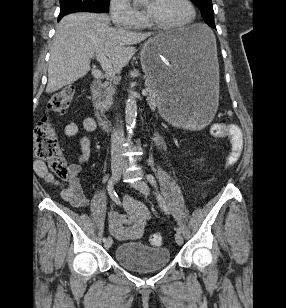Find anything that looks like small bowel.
I'll list each match as a JSON object with an SVG mask.
<instances>
[{"mask_svg": "<svg viewBox=\"0 0 286 308\" xmlns=\"http://www.w3.org/2000/svg\"><path fill=\"white\" fill-rule=\"evenodd\" d=\"M231 139H242L240 130L234 126L229 125ZM97 130L96 121L92 117H87L82 122H70L64 128V134L68 138L75 137L82 133L80 137L79 163H71L69 165L70 177L66 186L61 187V198L74 208H80L88 203V198L82 189L79 181V173L81 170L80 164L89 160L91 155V140L89 134ZM164 148V144H162ZM36 173L47 179L53 180L51 174L48 172L46 166L42 162H36ZM125 212L110 213L108 217V225L111 234L118 240H137L141 237L145 223L149 217V212L146 206L131 197L124 198Z\"/></svg>", "mask_w": 286, "mask_h": 308, "instance_id": "1", "label": "small bowel"}]
</instances>
